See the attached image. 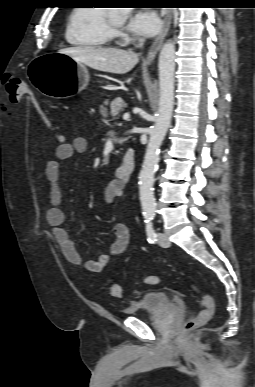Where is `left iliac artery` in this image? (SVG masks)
Segmentation results:
<instances>
[{
    "label": "left iliac artery",
    "instance_id": "1",
    "mask_svg": "<svg viewBox=\"0 0 255 387\" xmlns=\"http://www.w3.org/2000/svg\"><path fill=\"white\" fill-rule=\"evenodd\" d=\"M145 223H146L145 229H146L148 242L151 244H154L157 241V239H156L157 235H156L155 230L153 228L152 218H146Z\"/></svg>",
    "mask_w": 255,
    "mask_h": 387
}]
</instances>
